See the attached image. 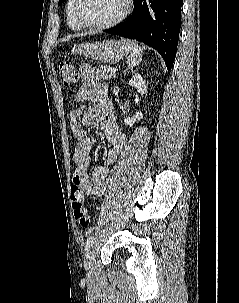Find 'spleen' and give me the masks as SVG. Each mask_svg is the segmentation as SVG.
Here are the masks:
<instances>
[{
    "label": "spleen",
    "instance_id": "1",
    "mask_svg": "<svg viewBox=\"0 0 239 303\" xmlns=\"http://www.w3.org/2000/svg\"><path fill=\"white\" fill-rule=\"evenodd\" d=\"M122 42L129 54L127 65L129 69H133V67L137 66L142 61L143 50L135 41L122 39Z\"/></svg>",
    "mask_w": 239,
    "mask_h": 303
}]
</instances>
